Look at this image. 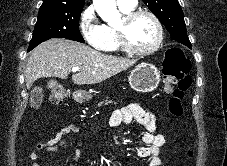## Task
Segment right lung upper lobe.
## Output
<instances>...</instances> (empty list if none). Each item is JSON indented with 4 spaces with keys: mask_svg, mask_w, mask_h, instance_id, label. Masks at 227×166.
<instances>
[{
    "mask_svg": "<svg viewBox=\"0 0 227 166\" xmlns=\"http://www.w3.org/2000/svg\"><path fill=\"white\" fill-rule=\"evenodd\" d=\"M85 0H43L40 8L82 9Z\"/></svg>",
    "mask_w": 227,
    "mask_h": 166,
    "instance_id": "right-lung-upper-lobe-1",
    "label": "right lung upper lobe"
}]
</instances>
